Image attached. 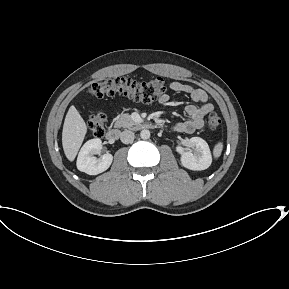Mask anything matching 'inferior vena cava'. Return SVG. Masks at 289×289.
Masks as SVG:
<instances>
[{
    "mask_svg": "<svg viewBox=\"0 0 289 289\" xmlns=\"http://www.w3.org/2000/svg\"><path fill=\"white\" fill-rule=\"evenodd\" d=\"M120 139L122 143L129 144L134 140V133L130 130H124L121 133Z\"/></svg>",
    "mask_w": 289,
    "mask_h": 289,
    "instance_id": "obj_1",
    "label": "inferior vena cava"
}]
</instances>
